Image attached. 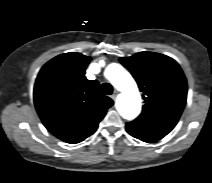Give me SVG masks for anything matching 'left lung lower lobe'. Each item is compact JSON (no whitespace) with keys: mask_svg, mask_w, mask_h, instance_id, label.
I'll list each match as a JSON object with an SVG mask.
<instances>
[{"mask_svg":"<svg viewBox=\"0 0 212 183\" xmlns=\"http://www.w3.org/2000/svg\"><path fill=\"white\" fill-rule=\"evenodd\" d=\"M126 130L133 137L148 143L158 141L165 136L160 133L149 132L132 126H126Z\"/></svg>","mask_w":212,"mask_h":183,"instance_id":"0a47b994","label":"left lung lower lobe"}]
</instances>
